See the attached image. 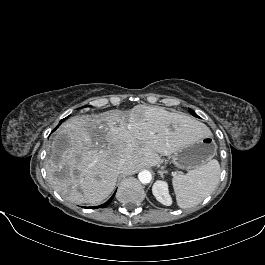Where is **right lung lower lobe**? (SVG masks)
Here are the masks:
<instances>
[{
	"label": "right lung lower lobe",
	"instance_id": "1",
	"mask_svg": "<svg viewBox=\"0 0 265 265\" xmlns=\"http://www.w3.org/2000/svg\"><path fill=\"white\" fill-rule=\"evenodd\" d=\"M60 124H61V123H60ZM60 124H59V125H60ZM59 125H58V126H59ZM58 126H57V127H58ZM57 127H56V128H57ZM56 128H55V129H56ZM55 129H54V130H55ZM113 197H114V195H113V196H112V197H111L106 203H104V204H102V205H100V206H97V207H91V208H103V207H106V206L111 202V200L113 199Z\"/></svg>",
	"mask_w": 265,
	"mask_h": 265
}]
</instances>
